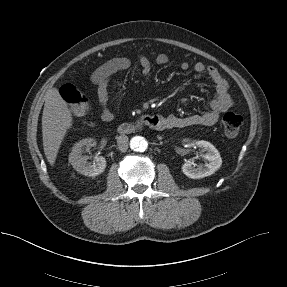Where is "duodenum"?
Instances as JSON below:
<instances>
[{"label": "duodenum", "mask_w": 287, "mask_h": 287, "mask_svg": "<svg viewBox=\"0 0 287 287\" xmlns=\"http://www.w3.org/2000/svg\"><path fill=\"white\" fill-rule=\"evenodd\" d=\"M149 127L158 130L161 127L160 118L156 115H143L134 122H125L119 125L118 132L121 134H131Z\"/></svg>", "instance_id": "duodenum-1"}]
</instances>
